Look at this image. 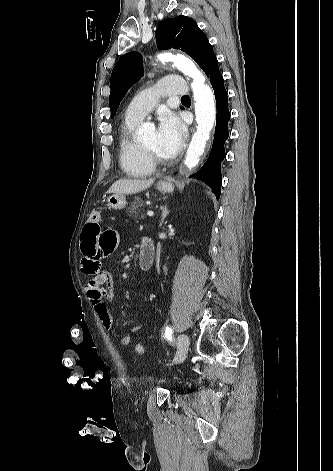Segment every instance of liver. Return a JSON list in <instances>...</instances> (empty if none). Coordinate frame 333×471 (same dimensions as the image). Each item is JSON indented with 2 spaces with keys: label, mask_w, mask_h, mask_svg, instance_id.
<instances>
[{
  "label": "liver",
  "mask_w": 333,
  "mask_h": 471,
  "mask_svg": "<svg viewBox=\"0 0 333 471\" xmlns=\"http://www.w3.org/2000/svg\"><path fill=\"white\" fill-rule=\"evenodd\" d=\"M154 179L136 180V179H119L108 190V193L114 194H133L149 188Z\"/></svg>",
  "instance_id": "1"
}]
</instances>
